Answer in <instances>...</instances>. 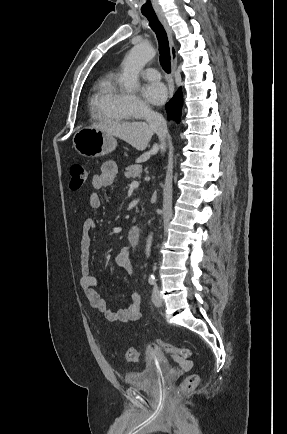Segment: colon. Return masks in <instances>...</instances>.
I'll return each instance as SVG.
<instances>
[{"label":"colon","mask_w":287,"mask_h":434,"mask_svg":"<svg viewBox=\"0 0 287 434\" xmlns=\"http://www.w3.org/2000/svg\"><path fill=\"white\" fill-rule=\"evenodd\" d=\"M71 180L70 188L72 190L80 189L88 180L89 173L84 165L74 164L70 168ZM157 347H159L164 352L170 354L174 359L179 361H190L192 360V352L189 348L178 347L171 343L157 340ZM124 357L130 362H135L138 360V352L134 347H129L124 352ZM200 382V377L198 374H189L185 377L183 382L177 387L174 393L176 399H180L186 393L194 390Z\"/></svg>","instance_id":"obj_1"}]
</instances>
